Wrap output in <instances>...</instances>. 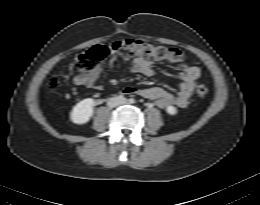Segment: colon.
<instances>
[{"mask_svg":"<svg viewBox=\"0 0 260 205\" xmlns=\"http://www.w3.org/2000/svg\"><path fill=\"white\" fill-rule=\"evenodd\" d=\"M112 49L121 51L126 56H137L144 59L157 61H167L173 64L180 63L183 59L182 52L173 47L153 45L139 40H121L112 44ZM108 48L102 45L94 46L88 51L79 54L73 61L74 68L80 74L92 72L99 63L107 56ZM60 81L53 77L48 82V88L54 92L58 89ZM209 92V87L205 83H197L194 87L196 97L204 98Z\"/></svg>","mask_w":260,"mask_h":205,"instance_id":"colon-1","label":"colon"}]
</instances>
